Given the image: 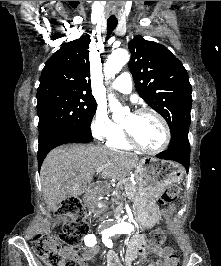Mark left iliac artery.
<instances>
[{"label":"left iliac artery","instance_id":"44dca946","mask_svg":"<svg viewBox=\"0 0 221 266\" xmlns=\"http://www.w3.org/2000/svg\"><path fill=\"white\" fill-rule=\"evenodd\" d=\"M116 233L114 232H105L102 235V242L108 247V248H112L113 243L112 240L109 239V236L115 235Z\"/></svg>","mask_w":221,"mask_h":266}]
</instances>
